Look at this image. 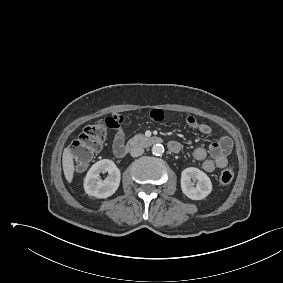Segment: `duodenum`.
I'll return each mask as SVG.
<instances>
[{
  "instance_id": "410a0bca",
  "label": "duodenum",
  "mask_w": 283,
  "mask_h": 283,
  "mask_svg": "<svg viewBox=\"0 0 283 283\" xmlns=\"http://www.w3.org/2000/svg\"><path fill=\"white\" fill-rule=\"evenodd\" d=\"M162 142V139L157 136L136 137L130 140L121 150L119 157H124L130 150L137 147H149Z\"/></svg>"
}]
</instances>
